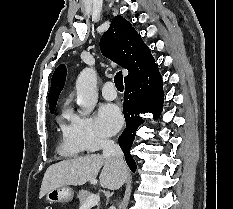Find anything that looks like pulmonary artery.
I'll return each instance as SVG.
<instances>
[{
    "label": "pulmonary artery",
    "instance_id": "e3ab8cb5",
    "mask_svg": "<svg viewBox=\"0 0 233 209\" xmlns=\"http://www.w3.org/2000/svg\"><path fill=\"white\" fill-rule=\"evenodd\" d=\"M102 95L107 100H113L117 97V91L114 83L111 81L106 82L101 89Z\"/></svg>",
    "mask_w": 233,
    "mask_h": 209
}]
</instances>
